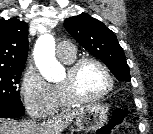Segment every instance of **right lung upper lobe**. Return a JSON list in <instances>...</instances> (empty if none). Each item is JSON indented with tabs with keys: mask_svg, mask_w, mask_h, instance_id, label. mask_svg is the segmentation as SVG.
Instances as JSON below:
<instances>
[{
	"mask_svg": "<svg viewBox=\"0 0 153 134\" xmlns=\"http://www.w3.org/2000/svg\"><path fill=\"white\" fill-rule=\"evenodd\" d=\"M28 48L27 23L0 19V68L25 67Z\"/></svg>",
	"mask_w": 153,
	"mask_h": 134,
	"instance_id": "1",
	"label": "right lung upper lobe"
}]
</instances>
